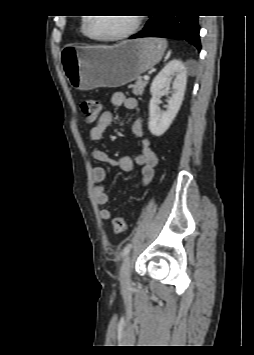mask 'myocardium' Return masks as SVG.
<instances>
[{
    "label": "myocardium",
    "mask_w": 254,
    "mask_h": 355,
    "mask_svg": "<svg viewBox=\"0 0 254 355\" xmlns=\"http://www.w3.org/2000/svg\"><path fill=\"white\" fill-rule=\"evenodd\" d=\"M92 22H93V17H87L86 22H85V31L87 36L97 42H114V41H120L127 39L131 37L140 27L141 24V17L137 14L133 17V23L130 26L129 29H127L125 32L115 35V36H110V37H101L97 36L93 33L92 31Z\"/></svg>",
    "instance_id": "obj_1"
}]
</instances>
